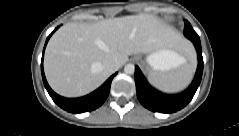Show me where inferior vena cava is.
I'll return each mask as SVG.
<instances>
[{
	"label": "inferior vena cava",
	"mask_w": 239,
	"mask_h": 136,
	"mask_svg": "<svg viewBox=\"0 0 239 136\" xmlns=\"http://www.w3.org/2000/svg\"><path fill=\"white\" fill-rule=\"evenodd\" d=\"M104 67L110 71L114 72L119 68V64L116 60H108L107 62L104 63Z\"/></svg>",
	"instance_id": "inferior-vena-cava-1"
}]
</instances>
